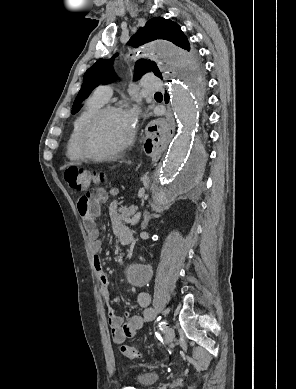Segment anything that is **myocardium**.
<instances>
[{
    "mask_svg": "<svg viewBox=\"0 0 296 389\" xmlns=\"http://www.w3.org/2000/svg\"><path fill=\"white\" fill-rule=\"evenodd\" d=\"M111 113H126L122 107L118 106H104L95 112L89 120L85 123L79 138V148L82 155L90 160H102L107 158L116 157L122 154L125 150H127L135 140V129L132 126L129 137L118 147L104 152H94L90 147V138L93 130L97 126V124L103 119L106 115Z\"/></svg>",
    "mask_w": 296,
    "mask_h": 389,
    "instance_id": "myocardium-1",
    "label": "myocardium"
}]
</instances>
